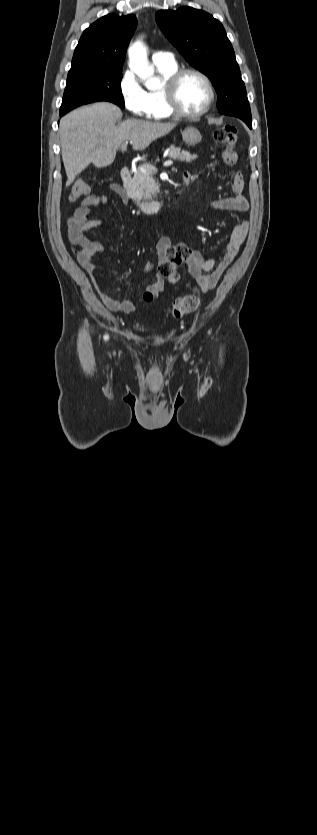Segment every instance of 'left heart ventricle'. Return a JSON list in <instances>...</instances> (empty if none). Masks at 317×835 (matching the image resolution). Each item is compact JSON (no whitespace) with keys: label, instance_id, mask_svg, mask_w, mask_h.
Listing matches in <instances>:
<instances>
[{"label":"left heart ventricle","instance_id":"left-heart-ventricle-1","mask_svg":"<svg viewBox=\"0 0 317 835\" xmlns=\"http://www.w3.org/2000/svg\"><path fill=\"white\" fill-rule=\"evenodd\" d=\"M208 99V89L204 81L194 75H186L180 82L178 101L182 110L196 113L201 110Z\"/></svg>","mask_w":317,"mask_h":835}]
</instances>
